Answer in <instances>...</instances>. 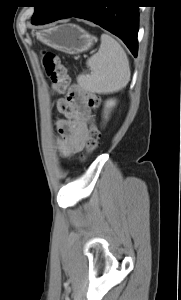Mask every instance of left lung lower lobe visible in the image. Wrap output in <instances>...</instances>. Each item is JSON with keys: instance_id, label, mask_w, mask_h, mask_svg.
Masks as SVG:
<instances>
[{"instance_id": "obj_1", "label": "left lung lower lobe", "mask_w": 181, "mask_h": 300, "mask_svg": "<svg viewBox=\"0 0 181 300\" xmlns=\"http://www.w3.org/2000/svg\"><path fill=\"white\" fill-rule=\"evenodd\" d=\"M136 0H57L53 11L41 23L77 17L98 24L118 36L137 56L139 12Z\"/></svg>"}]
</instances>
